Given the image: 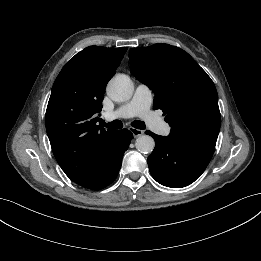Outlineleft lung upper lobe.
Wrapping results in <instances>:
<instances>
[{
    "label": "left lung upper lobe",
    "mask_w": 261,
    "mask_h": 261,
    "mask_svg": "<svg viewBox=\"0 0 261 261\" xmlns=\"http://www.w3.org/2000/svg\"><path fill=\"white\" fill-rule=\"evenodd\" d=\"M131 73L155 93L175 139L215 146L221 117L213 81L184 50L154 44L129 51Z\"/></svg>",
    "instance_id": "obj_1"
}]
</instances>
